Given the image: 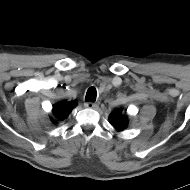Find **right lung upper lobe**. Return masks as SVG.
I'll return each mask as SVG.
<instances>
[{"mask_svg": "<svg viewBox=\"0 0 190 190\" xmlns=\"http://www.w3.org/2000/svg\"><path fill=\"white\" fill-rule=\"evenodd\" d=\"M77 105V102L74 101H60L53 105L52 113L56 121L64 120L68 114L72 111V109ZM52 122H54L52 120Z\"/></svg>", "mask_w": 190, "mask_h": 190, "instance_id": "cb5924a9", "label": "right lung upper lobe"}]
</instances>
